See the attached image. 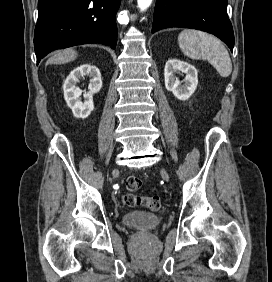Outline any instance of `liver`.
I'll return each instance as SVG.
<instances>
[{
    "label": "liver",
    "mask_w": 272,
    "mask_h": 282,
    "mask_svg": "<svg viewBox=\"0 0 272 282\" xmlns=\"http://www.w3.org/2000/svg\"><path fill=\"white\" fill-rule=\"evenodd\" d=\"M77 57V52L73 49H67L65 51L57 52L51 57L47 64H64L73 61Z\"/></svg>",
    "instance_id": "liver-1"
}]
</instances>
